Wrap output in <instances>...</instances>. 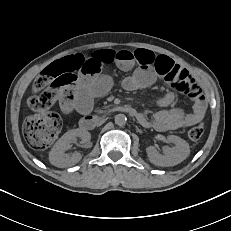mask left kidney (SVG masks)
I'll use <instances>...</instances> for the list:
<instances>
[{
	"instance_id": "obj_1",
	"label": "left kidney",
	"mask_w": 231,
	"mask_h": 231,
	"mask_svg": "<svg viewBox=\"0 0 231 231\" xmlns=\"http://www.w3.org/2000/svg\"><path fill=\"white\" fill-rule=\"evenodd\" d=\"M168 140L175 146L166 147L164 155L159 154L155 147L149 146L146 149L148 158L151 163L157 166H175L185 160L190 154L189 144L175 135H169Z\"/></svg>"
}]
</instances>
